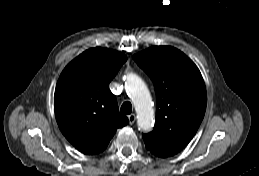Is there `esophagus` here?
Returning <instances> with one entry per match:
<instances>
[{
  "mask_svg": "<svg viewBox=\"0 0 259 176\" xmlns=\"http://www.w3.org/2000/svg\"><path fill=\"white\" fill-rule=\"evenodd\" d=\"M128 120H129V123H130L131 125L134 124V122H135V120H136L135 114H130V115L128 116Z\"/></svg>",
  "mask_w": 259,
  "mask_h": 176,
  "instance_id": "1",
  "label": "esophagus"
}]
</instances>
